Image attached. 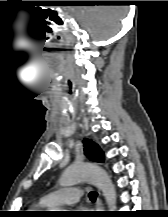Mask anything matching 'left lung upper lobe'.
I'll use <instances>...</instances> for the list:
<instances>
[{
  "instance_id": "left-lung-upper-lobe-1",
  "label": "left lung upper lobe",
  "mask_w": 168,
  "mask_h": 217,
  "mask_svg": "<svg viewBox=\"0 0 168 217\" xmlns=\"http://www.w3.org/2000/svg\"><path fill=\"white\" fill-rule=\"evenodd\" d=\"M84 153L92 161L103 162L104 154L100 147L92 140L84 139Z\"/></svg>"
}]
</instances>
